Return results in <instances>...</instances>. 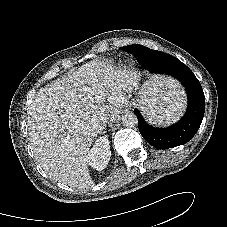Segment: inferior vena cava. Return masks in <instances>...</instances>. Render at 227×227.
Here are the masks:
<instances>
[{"label":"inferior vena cava","instance_id":"obj_1","mask_svg":"<svg viewBox=\"0 0 227 227\" xmlns=\"http://www.w3.org/2000/svg\"><path fill=\"white\" fill-rule=\"evenodd\" d=\"M102 126H105V124L104 125L100 124L98 127L101 128Z\"/></svg>","mask_w":227,"mask_h":227}]
</instances>
